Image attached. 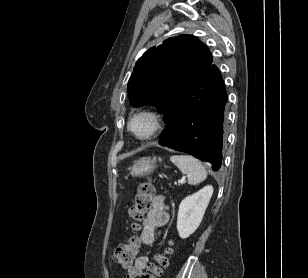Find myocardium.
<instances>
[{"label":"myocardium","mask_w":308,"mask_h":278,"mask_svg":"<svg viewBox=\"0 0 308 278\" xmlns=\"http://www.w3.org/2000/svg\"><path fill=\"white\" fill-rule=\"evenodd\" d=\"M140 117H145L147 119H149L150 123H151V127L149 129L148 132H146L143 135H139L137 134L133 129H132V123ZM127 129L128 131L138 140H142V141H147V140H151L153 138H155L163 129V119L161 117V115L156 112V111H152V110H139L136 111L135 113H133L127 123Z\"/></svg>","instance_id":"f54148a6"}]
</instances>
